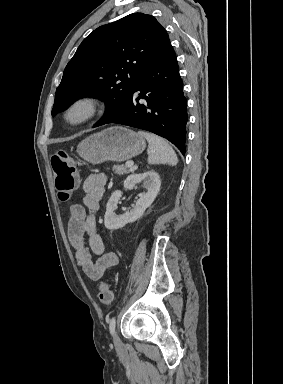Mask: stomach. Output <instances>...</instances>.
Instances as JSON below:
<instances>
[{
  "label": "stomach",
  "instance_id": "stomach-1",
  "mask_svg": "<svg viewBox=\"0 0 283 384\" xmlns=\"http://www.w3.org/2000/svg\"><path fill=\"white\" fill-rule=\"evenodd\" d=\"M145 150V140L127 128L113 126L98 134H92L77 146L80 158L89 164L125 162Z\"/></svg>",
  "mask_w": 283,
  "mask_h": 384
}]
</instances>
